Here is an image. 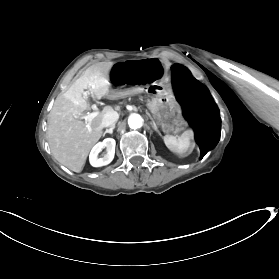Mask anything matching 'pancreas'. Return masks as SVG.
<instances>
[{
    "label": "pancreas",
    "mask_w": 279,
    "mask_h": 279,
    "mask_svg": "<svg viewBox=\"0 0 279 279\" xmlns=\"http://www.w3.org/2000/svg\"><path fill=\"white\" fill-rule=\"evenodd\" d=\"M112 98H113V99H117V98H119V97H115V96H114V97H112Z\"/></svg>",
    "instance_id": "obj_1"
}]
</instances>
